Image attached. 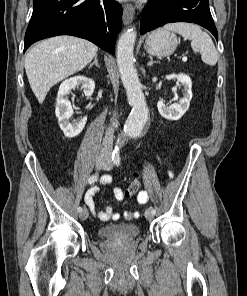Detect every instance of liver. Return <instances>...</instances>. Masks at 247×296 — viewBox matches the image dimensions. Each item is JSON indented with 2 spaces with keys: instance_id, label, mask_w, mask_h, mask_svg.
<instances>
[{
  "instance_id": "6515ba94",
  "label": "liver",
  "mask_w": 247,
  "mask_h": 296,
  "mask_svg": "<svg viewBox=\"0 0 247 296\" xmlns=\"http://www.w3.org/2000/svg\"><path fill=\"white\" fill-rule=\"evenodd\" d=\"M97 51L92 42L68 35L46 39L31 48L25 70L38 102L43 103L53 85L84 69Z\"/></svg>"
}]
</instances>
